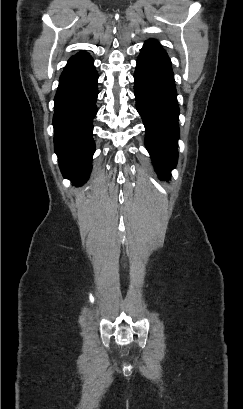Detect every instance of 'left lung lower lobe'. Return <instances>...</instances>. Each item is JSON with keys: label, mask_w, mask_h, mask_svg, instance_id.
I'll return each instance as SVG.
<instances>
[{"label": "left lung lower lobe", "mask_w": 243, "mask_h": 409, "mask_svg": "<svg viewBox=\"0 0 243 409\" xmlns=\"http://www.w3.org/2000/svg\"><path fill=\"white\" fill-rule=\"evenodd\" d=\"M134 79L136 108L146 129L145 145L156 172L165 180L178 158L179 107L171 61L157 41L145 42Z\"/></svg>", "instance_id": "1"}]
</instances>
